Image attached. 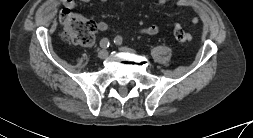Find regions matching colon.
<instances>
[{
  "mask_svg": "<svg viewBox=\"0 0 253 138\" xmlns=\"http://www.w3.org/2000/svg\"><path fill=\"white\" fill-rule=\"evenodd\" d=\"M60 21L63 25V38L67 42L82 46L93 44L96 31L94 22L73 14L67 9L62 10ZM172 32L175 39L182 44H187L192 39L191 34L179 25L173 26Z\"/></svg>",
  "mask_w": 253,
  "mask_h": 138,
  "instance_id": "obj_1",
  "label": "colon"
}]
</instances>
